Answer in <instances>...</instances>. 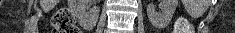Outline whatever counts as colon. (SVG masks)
I'll use <instances>...</instances> for the list:
<instances>
[{
    "label": "colon",
    "instance_id": "colon-1",
    "mask_svg": "<svg viewBox=\"0 0 235 33\" xmlns=\"http://www.w3.org/2000/svg\"><path fill=\"white\" fill-rule=\"evenodd\" d=\"M53 33H79L75 19L67 8H60L52 18ZM176 33H190L191 26L184 20L177 21L175 26Z\"/></svg>",
    "mask_w": 235,
    "mask_h": 33
}]
</instances>
